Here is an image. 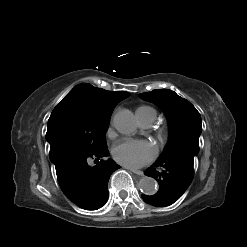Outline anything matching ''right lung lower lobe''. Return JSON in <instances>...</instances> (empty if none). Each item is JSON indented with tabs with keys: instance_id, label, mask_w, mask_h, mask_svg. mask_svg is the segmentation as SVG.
Returning <instances> with one entry per match:
<instances>
[{
	"instance_id": "obj_1",
	"label": "right lung lower lobe",
	"mask_w": 247,
	"mask_h": 247,
	"mask_svg": "<svg viewBox=\"0 0 247 247\" xmlns=\"http://www.w3.org/2000/svg\"><path fill=\"white\" fill-rule=\"evenodd\" d=\"M106 149L87 152L67 144L50 145V160L55 164L58 183L63 193L85 210H97L108 200V180L120 168L113 160H104ZM95 159V166H90Z\"/></svg>"
}]
</instances>
